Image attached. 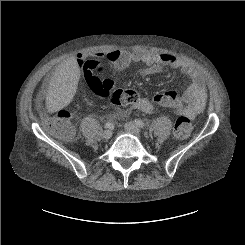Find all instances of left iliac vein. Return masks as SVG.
<instances>
[{"instance_id":"4c4485c4","label":"left iliac vein","mask_w":245,"mask_h":245,"mask_svg":"<svg viewBox=\"0 0 245 245\" xmlns=\"http://www.w3.org/2000/svg\"><path fill=\"white\" fill-rule=\"evenodd\" d=\"M124 128L127 132L132 133L136 136L140 135V129L132 122H127L124 124Z\"/></svg>"}]
</instances>
